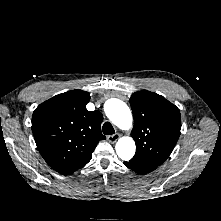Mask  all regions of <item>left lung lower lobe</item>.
Returning a JSON list of instances; mask_svg holds the SVG:
<instances>
[{"mask_svg":"<svg viewBox=\"0 0 221 221\" xmlns=\"http://www.w3.org/2000/svg\"><path fill=\"white\" fill-rule=\"evenodd\" d=\"M124 164L128 168L132 169L133 171H135L138 174L149 173V172H151V171H153L157 168V166H155V165H151V164H148V163L136 161L134 159H131L128 162H124Z\"/></svg>","mask_w":221,"mask_h":221,"instance_id":"obj_1","label":"left lung lower lobe"}]
</instances>
